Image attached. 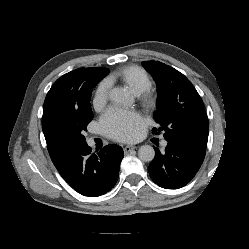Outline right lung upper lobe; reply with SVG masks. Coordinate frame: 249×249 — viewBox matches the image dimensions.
I'll return each mask as SVG.
<instances>
[{
  "instance_id": "cb5924a9",
  "label": "right lung upper lobe",
  "mask_w": 249,
  "mask_h": 249,
  "mask_svg": "<svg viewBox=\"0 0 249 249\" xmlns=\"http://www.w3.org/2000/svg\"><path fill=\"white\" fill-rule=\"evenodd\" d=\"M95 68H79L61 76L49 90L42 117V129L51 158L63 147L54 135V121L71 106H77Z\"/></svg>"
}]
</instances>
